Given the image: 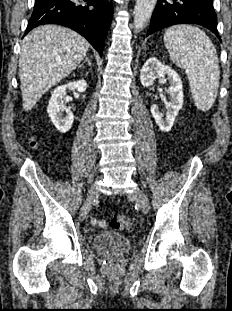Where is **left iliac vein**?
<instances>
[{"label":"left iliac vein","mask_w":232,"mask_h":311,"mask_svg":"<svg viewBox=\"0 0 232 311\" xmlns=\"http://www.w3.org/2000/svg\"><path fill=\"white\" fill-rule=\"evenodd\" d=\"M128 196L130 198L135 199L137 201V203L139 204L141 210L145 214L149 212V202H148V199H147L146 195L144 194V192L141 189L136 188L131 193H129Z\"/></svg>","instance_id":"obj_1"}]
</instances>
